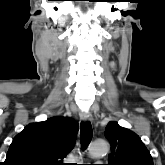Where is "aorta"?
Wrapping results in <instances>:
<instances>
[{"label":"aorta","mask_w":165,"mask_h":165,"mask_svg":"<svg viewBox=\"0 0 165 165\" xmlns=\"http://www.w3.org/2000/svg\"><path fill=\"white\" fill-rule=\"evenodd\" d=\"M109 151V145L105 141H96L89 147V154L91 157L97 158L105 156Z\"/></svg>","instance_id":"1"}]
</instances>
